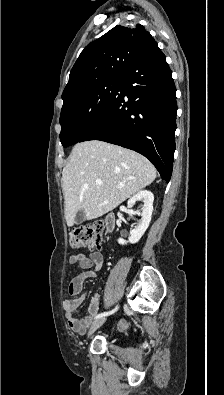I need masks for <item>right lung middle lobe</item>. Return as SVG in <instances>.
<instances>
[{"instance_id": "dd1d6c3e", "label": "right lung middle lobe", "mask_w": 224, "mask_h": 395, "mask_svg": "<svg viewBox=\"0 0 224 395\" xmlns=\"http://www.w3.org/2000/svg\"><path fill=\"white\" fill-rule=\"evenodd\" d=\"M121 79L101 80L63 98L60 141L64 147L79 142L85 136L95 118L108 106Z\"/></svg>"}]
</instances>
